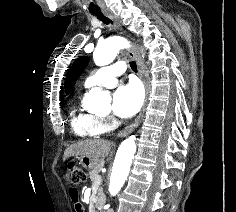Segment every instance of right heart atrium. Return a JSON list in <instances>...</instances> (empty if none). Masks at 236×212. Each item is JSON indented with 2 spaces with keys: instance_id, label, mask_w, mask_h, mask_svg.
Here are the masks:
<instances>
[{
  "instance_id": "1",
  "label": "right heart atrium",
  "mask_w": 236,
  "mask_h": 212,
  "mask_svg": "<svg viewBox=\"0 0 236 212\" xmlns=\"http://www.w3.org/2000/svg\"><path fill=\"white\" fill-rule=\"evenodd\" d=\"M102 121L105 127V131H108L109 129H111V127L113 126V118L110 116H104L102 117Z\"/></svg>"
}]
</instances>
